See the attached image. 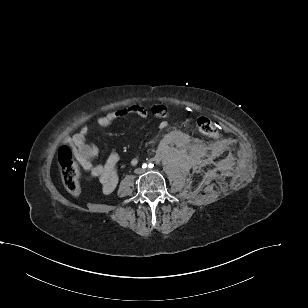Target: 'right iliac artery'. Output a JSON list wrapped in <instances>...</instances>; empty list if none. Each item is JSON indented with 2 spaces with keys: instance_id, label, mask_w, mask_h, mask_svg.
Returning <instances> with one entry per match:
<instances>
[{
  "instance_id": "obj_1",
  "label": "right iliac artery",
  "mask_w": 308,
  "mask_h": 308,
  "mask_svg": "<svg viewBox=\"0 0 308 308\" xmlns=\"http://www.w3.org/2000/svg\"><path fill=\"white\" fill-rule=\"evenodd\" d=\"M143 168H145L146 167V164H143V166H142Z\"/></svg>"
}]
</instances>
